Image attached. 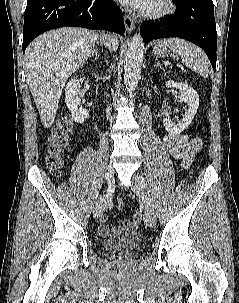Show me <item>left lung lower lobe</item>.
<instances>
[{
    "label": "left lung lower lobe",
    "instance_id": "obj_1",
    "mask_svg": "<svg viewBox=\"0 0 239 303\" xmlns=\"http://www.w3.org/2000/svg\"><path fill=\"white\" fill-rule=\"evenodd\" d=\"M175 13L168 19L141 24L145 43L153 39L179 37L200 46L216 70L217 32L212 0H175Z\"/></svg>",
    "mask_w": 239,
    "mask_h": 303
}]
</instances>
